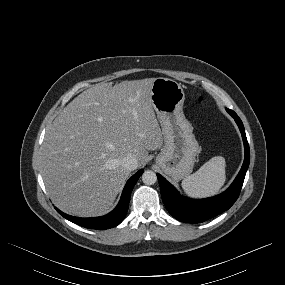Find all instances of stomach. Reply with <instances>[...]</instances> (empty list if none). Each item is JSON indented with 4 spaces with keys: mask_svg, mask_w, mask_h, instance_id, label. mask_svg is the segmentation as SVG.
<instances>
[{
    "mask_svg": "<svg viewBox=\"0 0 285 285\" xmlns=\"http://www.w3.org/2000/svg\"><path fill=\"white\" fill-rule=\"evenodd\" d=\"M182 85L169 78H156L151 86V102L162 127L164 147L155 163L173 180L187 177L193 170L199 145L193 127L185 118Z\"/></svg>",
    "mask_w": 285,
    "mask_h": 285,
    "instance_id": "0dacf381",
    "label": "stomach"
}]
</instances>
